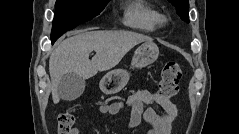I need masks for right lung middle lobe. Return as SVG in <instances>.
<instances>
[{
	"instance_id": "dd1d6c3e",
	"label": "right lung middle lobe",
	"mask_w": 239,
	"mask_h": 134,
	"mask_svg": "<svg viewBox=\"0 0 239 134\" xmlns=\"http://www.w3.org/2000/svg\"><path fill=\"white\" fill-rule=\"evenodd\" d=\"M110 0H57L51 32L54 43L66 31L96 17Z\"/></svg>"
}]
</instances>
